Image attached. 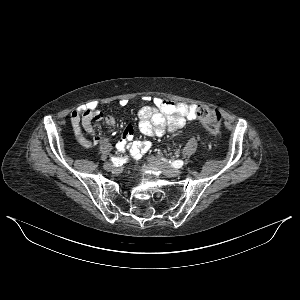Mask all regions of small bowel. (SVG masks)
<instances>
[{"mask_svg":"<svg viewBox=\"0 0 300 300\" xmlns=\"http://www.w3.org/2000/svg\"><path fill=\"white\" fill-rule=\"evenodd\" d=\"M153 106H145L138 112V130L146 137L161 136L166 132H175L182 128L187 120L194 119L196 106L185 102H173L167 99L153 97L150 98ZM128 100H120L121 106H126ZM104 119L109 126H114L116 120L113 116L104 114L98 109L97 103L90 102L81 105L71 114V125L74 134L83 147H90L101 141L95 134L93 121ZM91 136L88 138L81 129ZM118 149L123 151L130 150L135 159H140L144 153L151 148L148 140H134V129L127 126L119 141Z\"/></svg>","mask_w":300,"mask_h":300,"instance_id":"obj_1","label":"small bowel"}]
</instances>
